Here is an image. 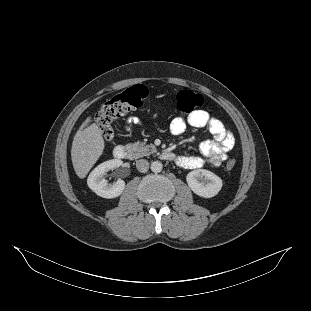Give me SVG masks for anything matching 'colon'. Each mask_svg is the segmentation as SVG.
Here are the masks:
<instances>
[{
    "label": "colon",
    "instance_id": "obj_1",
    "mask_svg": "<svg viewBox=\"0 0 311 311\" xmlns=\"http://www.w3.org/2000/svg\"><path fill=\"white\" fill-rule=\"evenodd\" d=\"M147 98V88L143 85H135L107 100L96 114V122L103 138L111 141L114 137L112 128L114 120L142 107ZM202 103V96L192 90L183 89L177 94V108L182 113H191ZM235 164V158H227L226 168L228 170L233 169Z\"/></svg>",
    "mask_w": 311,
    "mask_h": 311
}]
</instances>
